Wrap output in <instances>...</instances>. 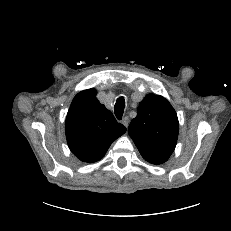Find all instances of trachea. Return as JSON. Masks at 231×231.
<instances>
[{"instance_id": "3493384b", "label": "trachea", "mask_w": 231, "mask_h": 231, "mask_svg": "<svg viewBox=\"0 0 231 231\" xmlns=\"http://www.w3.org/2000/svg\"><path fill=\"white\" fill-rule=\"evenodd\" d=\"M125 108V100L123 97L117 99V102L114 106V112L118 120L122 119Z\"/></svg>"}]
</instances>
